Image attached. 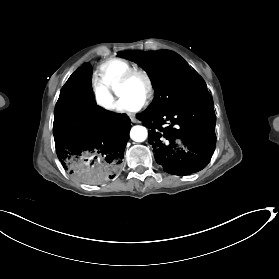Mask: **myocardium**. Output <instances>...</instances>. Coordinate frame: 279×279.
I'll return each mask as SVG.
<instances>
[{
  "mask_svg": "<svg viewBox=\"0 0 279 279\" xmlns=\"http://www.w3.org/2000/svg\"><path fill=\"white\" fill-rule=\"evenodd\" d=\"M135 79H141L146 85V92L143 101L148 102L151 100L154 93V85L150 75L141 69L133 68L128 70L120 78L117 84V95L119 96L120 90L126 85L130 84Z\"/></svg>",
  "mask_w": 279,
  "mask_h": 279,
  "instance_id": "myocardium-1",
  "label": "myocardium"
}]
</instances>
